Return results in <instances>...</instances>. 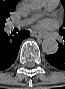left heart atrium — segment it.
Masks as SVG:
<instances>
[{"mask_svg":"<svg viewBox=\"0 0 65 89\" xmlns=\"http://www.w3.org/2000/svg\"><path fill=\"white\" fill-rule=\"evenodd\" d=\"M47 25V21H42L41 23H40V26L41 27H45Z\"/></svg>","mask_w":65,"mask_h":89,"instance_id":"obj_1","label":"left heart atrium"}]
</instances>
